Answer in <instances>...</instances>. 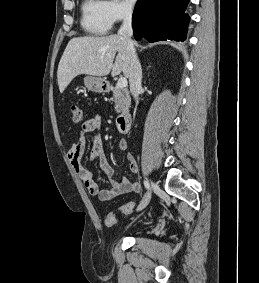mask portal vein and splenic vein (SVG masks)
I'll list each match as a JSON object with an SVG mask.
<instances>
[{
  "label": "portal vein and splenic vein",
  "mask_w": 259,
  "mask_h": 283,
  "mask_svg": "<svg viewBox=\"0 0 259 283\" xmlns=\"http://www.w3.org/2000/svg\"><path fill=\"white\" fill-rule=\"evenodd\" d=\"M117 86L119 88H125L127 86V79L126 78H119L118 82H117Z\"/></svg>",
  "instance_id": "obj_1"
}]
</instances>
